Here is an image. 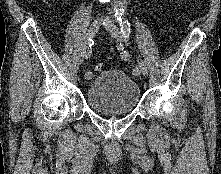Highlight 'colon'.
<instances>
[{
  "label": "colon",
  "instance_id": "5ec220e1",
  "mask_svg": "<svg viewBox=\"0 0 221 174\" xmlns=\"http://www.w3.org/2000/svg\"><path fill=\"white\" fill-rule=\"evenodd\" d=\"M103 67H104V65L103 64H101V63H99V64H97L96 66H95V70L96 71H102L103 70Z\"/></svg>",
  "mask_w": 221,
  "mask_h": 174
}]
</instances>
